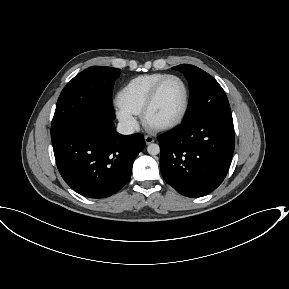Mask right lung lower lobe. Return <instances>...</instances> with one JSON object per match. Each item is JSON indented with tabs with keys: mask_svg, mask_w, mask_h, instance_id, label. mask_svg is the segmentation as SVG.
I'll list each match as a JSON object with an SVG mask.
<instances>
[{
	"mask_svg": "<svg viewBox=\"0 0 289 289\" xmlns=\"http://www.w3.org/2000/svg\"><path fill=\"white\" fill-rule=\"evenodd\" d=\"M57 168L65 182L89 198L118 192L145 147L142 135H121L112 120L90 117L52 141Z\"/></svg>",
	"mask_w": 289,
	"mask_h": 289,
	"instance_id": "right-lung-lower-lobe-1",
	"label": "right lung lower lobe"
}]
</instances>
